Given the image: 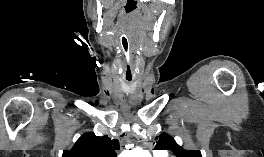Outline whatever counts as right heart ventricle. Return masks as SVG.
Returning a JSON list of instances; mask_svg holds the SVG:
<instances>
[{
  "label": "right heart ventricle",
  "mask_w": 264,
  "mask_h": 157,
  "mask_svg": "<svg viewBox=\"0 0 264 157\" xmlns=\"http://www.w3.org/2000/svg\"><path fill=\"white\" fill-rule=\"evenodd\" d=\"M156 157H168L167 155H156Z\"/></svg>",
  "instance_id": "e07e8e85"
}]
</instances>
